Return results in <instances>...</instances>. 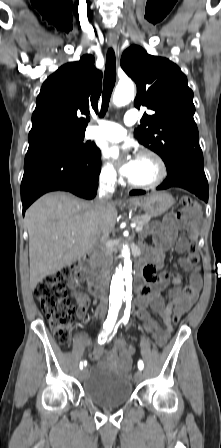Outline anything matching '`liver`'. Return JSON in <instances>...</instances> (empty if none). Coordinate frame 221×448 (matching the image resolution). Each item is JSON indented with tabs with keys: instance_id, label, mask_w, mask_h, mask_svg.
<instances>
[{
	"instance_id": "liver-1",
	"label": "liver",
	"mask_w": 221,
	"mask_h": 448,
	"mask_svg": "<svg viewBox=\"0 0 221 448\" xmlns=\"http://www.w3.org/2000/svg\"><path fill=\"white\" fill-rule=\"evenodd\" d=\"M94 203L54 192L40 197L26 211L31 289L81 259L114 229L116 203L108 202L102 211Z\"/></svg>"
}]
</instances>
